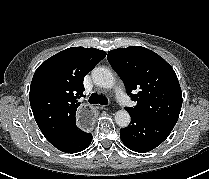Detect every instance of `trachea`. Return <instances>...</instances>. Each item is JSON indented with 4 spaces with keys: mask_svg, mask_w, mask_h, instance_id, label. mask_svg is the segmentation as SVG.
<instances>
[{
    "mask_svg": "<svg viewBox=\"0 0 209 179\" xmlns=\"http://www.w3.org/2000/svg\"><path fill=\"white\" fill-rule=\"evenodd\" d=\"M88 101L91 104H101V105L108 104L107 98L105 96L99 95L97 93H92Z\"/></svg>",
    "mask_w": 209,
    "mask_h": 179,
    "instance_id": "trachea-1",
    "label": "trachea"
}]
</instances>
